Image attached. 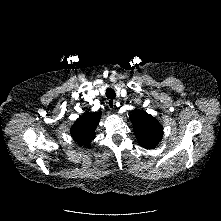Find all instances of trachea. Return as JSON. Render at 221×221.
Masks as SVG:
<instances>
[{"label":"trachea","instance_id":"1","mask_svg":"<svg viewBox=\"0 0 221 221\" xmlns=\"http://www.w3.org/2000/svg\"><path fill=\"white\" fill-rule=\"evenodd\" d=\"M106 96H107V98H109V99H114V98L116 97V93H115L114 89H112V88H107V90H106Z\"/></svg>","mask_w":221,"mask_h":221}]
</instances>
